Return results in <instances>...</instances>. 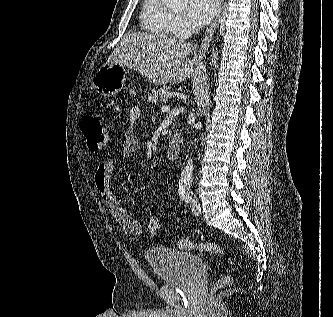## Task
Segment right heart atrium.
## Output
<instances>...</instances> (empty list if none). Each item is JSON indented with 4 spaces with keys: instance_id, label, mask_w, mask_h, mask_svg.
I'll use <instances>...</instances> for the list:
<instances>
[{
    "instance_id": "1",
    "label": "right heart atrium",
    "mask_w": 333,
    "mask_h": 317,
    "mask_svg": "<svg viewBox=\"0 0 333 317\" xmlns=\"http://www.w3.org/2000/svg\"><path fill=\"white\" fill-rule=\"evenodd\" d=\"M175 27L177 33L181 35L188 34L193 30L192 26L183 17L180 16H176Z\"/></svg>"
}]
</instances>
